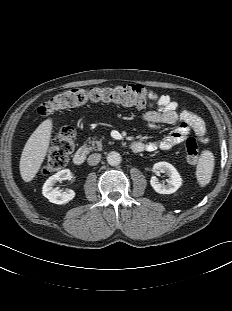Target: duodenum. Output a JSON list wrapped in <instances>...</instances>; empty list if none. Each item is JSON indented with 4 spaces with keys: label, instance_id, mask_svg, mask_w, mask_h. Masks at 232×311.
I'll list each match as a JSON object with an SVG mask.
<instances>
[{
    "label": "duodenum",
    "instance_id": "duodenum-1",
    "mask_svg": "<svg viewBox=\"0 0 232 311\" xmlns=\"http://www.w3.org/2000/svg\"><path fill=\"white\" fill-rule=\"evenodd\" d=\"M144 144L141 142H135L132 144V150L134 152H141L144 150ZM88 150L85 147L80 148L73 157V162L76 165H82L87 157Z\"/></svg>",
    "mask_w": 232,
    "mask_h": 311
}]
</instances>
